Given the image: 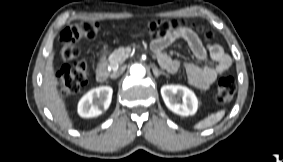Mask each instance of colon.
Segmentation results:
<instances>
[{
	"label": "colon",
	"instance_id": "1",
	"mask_svg": "<svg viewBox=\"0 0 283 162\" xmlns=\"http://www.w3.org/2000/svg\"><path fill=\"white\" fill-rule=\"evenodd\" d=\"M184 28L191 27L184 21L176 20H154L144 26L146 33L153 37L161 38ZM197 31L204 34L207 40L212 39V33L204 31L200 26L195 27ZM100 25L96 21H83L64 28L59 36L61 49L60 57L62 67L57 73L59 91L62 96H69L78 93L88 80L89 67L87 62L80 58V51L77 43L81 39L93 40L97 37ZM236 91V83L233 77H222L217 84L215 101L218 104L229 102Z\"/></svg>",
	"mask_w": 283,
	"mask_h": 162
}]
</instances>
